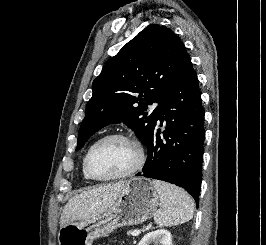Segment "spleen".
Returning a JSON list of instances; mask_svg holds the SVG:
<instances>
[{
    "label": "spleen",
    "instance_id": "3e777b00",
    "mask_svg": "<svg viewBox=\"0 0 266 245\" xmlns=\"http://www.w3.org/2000/svg\"><path fill=\"white\" fill-rule=\"evenodd\" d=\"M152 185L162 203V209L154 215L156 225L175 227L193 219L195 203L184 189L163 181H152Z\"/></svg>",
    "mask_w": 266,
    "mask_h": 245
}]
</instances>
